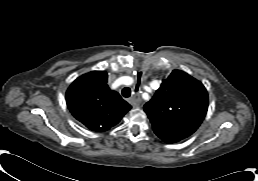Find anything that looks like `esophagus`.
<instances>
[{"mask_svg":"<svg viewBox=\"0 0 258 181\" xmlns=\"http://www.w3.org/2000/svg\"><path fill=\"white\" fill-rule=\"evenodd\" d=\"M130 103L132 104L133 107H139L140 104H141V99H140V96L138 93H135L131 100H130Z\"/></svg>","mask_w":258,"mask_h":181,"instance_id":"1","label":"esophagus"}]
</instances>
